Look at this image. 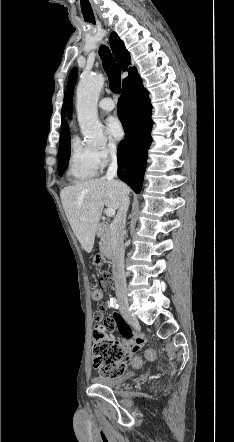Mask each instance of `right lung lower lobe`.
I'll return each mask as SVG.
<instances>
[{"instance_id": "obj_1", "label": "right lung lower lobe", "mask_w": 234, "mask_h": 442, "mask_svg": "<svg viewBox=\"0 0 234 442\" xmlns=\"http://www.w3.org/2000/svg\"><path fill=\"white\" fill-rule=\"evenodd\" d=\"M117 109L125 131L117 151L118 176L139 193L151 143L152 106L138 73L123 82Z\"/></svg>"}]
</instances>
